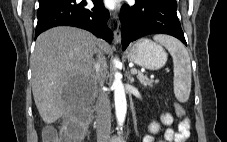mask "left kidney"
I'll use <instances>...</instances> for the list:
<instances>
[{
    "instance_id": "left-kidney-1",
    "label": "left kidney",
    "mask_w": 227,
    "mask_h": 142,
    "mask_svg": "<svg viewBox=\"0 0 227 142\" xmlns=\"http://www.w3.org/2000/svg\"><path fill=\"white\" fill-rule=\"evenodd\" d=\"M159 128H160V126H159V124L156 123V122H152V123L149 125V131H150L151 133H153V134L158 133Z\"/></svg>"
}]
</instances>
